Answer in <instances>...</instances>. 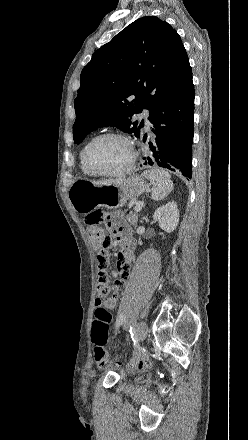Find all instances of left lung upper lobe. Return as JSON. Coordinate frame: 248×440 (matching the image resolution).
I'll return each mask as SVG.
<instances>
[{
  "instance_id": "1",
  "label": "left lung upper lobe",
  "mask_w": 248,
  "mask_h": 440,
  "mask_svg": "<svg viewBox=\"0 0 248 440\" xmlns=\"http://www.w3.org/2000/svg\"><path fill=\"white\" fill-rule=\"evenodd\" d=\"M191 80L189 59L177 32L155 16L137 19L96 50L83 68L74 100V142L81 143L103 126L139 137L143 124L138 126L132 116L148 109L150 117L170 92Z\"/></svg>"
}]
</instances>
